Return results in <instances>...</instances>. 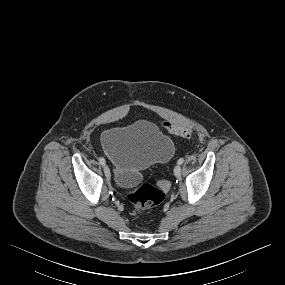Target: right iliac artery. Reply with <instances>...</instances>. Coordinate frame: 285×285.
Returning a JSON list of instances; mask_svg holds the SVG:
<instances>
[{"instance_id":"1","label":"right iliac artery","mask_w":285,"mask_h":285,"mask_svg":"<svg viewBox=\"0 0 285 285\" xmlns=\"http://www.w3.org/2000/svg\"><path fill=\"white\" fill-rule=\"evenodd\" d=\"M99 162L101 165H105V159L103 157L99 158Z\"/></svg>"}]
</instances>
